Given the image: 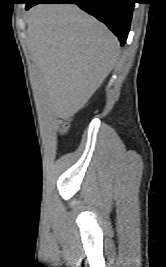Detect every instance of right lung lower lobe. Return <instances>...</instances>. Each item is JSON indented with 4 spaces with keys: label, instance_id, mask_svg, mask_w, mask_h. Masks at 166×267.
Listing matches in <instances>:
<instances>
[{
    "label": "right lung lower lobe",
    "instance_id": "1",
    "mask_svg": "<svg viewBox=\"0 0 166 267\" xmlns=\"http://www.w3.org/2000/svg\"><path fill=\"white\" fill-rule=\"evenodd\" d=\"M26 9L39 3H74L105 23L118 37L121 45L126 42L133 12L134 0H29Z\"/></svg>",
    "mask_w": 166,
    "mask_h": 267
}]
</instances>
